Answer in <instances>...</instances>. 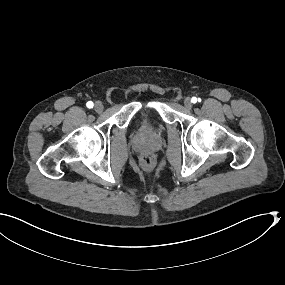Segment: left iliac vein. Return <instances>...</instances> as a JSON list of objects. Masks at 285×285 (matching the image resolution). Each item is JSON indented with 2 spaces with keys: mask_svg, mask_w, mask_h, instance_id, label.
Segmentation results:
<instances>
[{
  "mask_svg": "<svg viewBox=\"0 0 285 285\" xmlns=\"http://www.w3.org/2000/svg\"><path fill=\"white\" fill-rule=\"evenodd\" d=\"M184 106L186 109H191L193 107V104H192L191 99L189 97H186L184 99Z\"/></svg>",
  "mask_w": 285,
  "mask_h": 285,
  "instance_id": "1",
  "label": "left iliac vein"
}]
</instances>
